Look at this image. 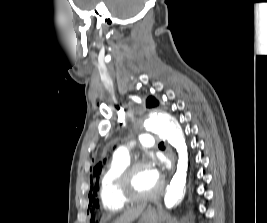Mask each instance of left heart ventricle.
<instances>
[{
  "instance_id": "obj_1",
  "label": "left heart ventricle",
  "mask_w": 267,
  "mask_h": 223,
  "mask_svg": "<svg viewBox=\"0 0 267 223\" xmlns=\"http://www.w3.org/2000/svg\"><path fill=\"white\" fill-rule=\"evenodd\" d=\"M159 182L151 176L150 167L139 168L132 177L131 189L136 194H148L155 191Z\"/></svg>"
}]
</instances>
